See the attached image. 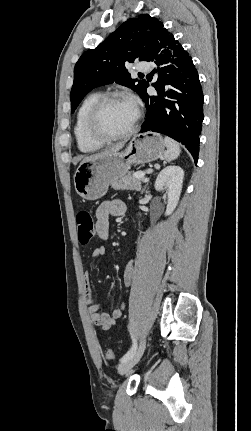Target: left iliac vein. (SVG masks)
Listing matches in <instances>:
<instances>
[{
  "instance_id": "obj_1",
  "label": "left iliac vein",
  "mask_w": 251,
  "mask_h": 431,
  "mask_svg": "<svg viewBox=\"0 0 251 431\" xmlns=\"http://www.w3.org/2000/svg\"><path fill=\"white\" fill-rule=\"evenodd\" d=\"M145 346H146V341L143 338L139 347L134 352V354L130 358H128L127 360H125L124 362H121V364H119V366H118L119 374L123 375V374L127 373L132 367H134L139 362V360L141 359V357L144 353Z\"/></svg>"
}]
</instances>
